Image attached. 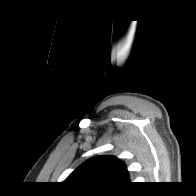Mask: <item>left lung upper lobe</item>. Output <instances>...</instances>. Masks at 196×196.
Masks as SVG:
<instances>
[{"instance_id":"5c2ea615","label":"left lung upper lobe","mask_w":196,"mask_h":196,"mask_svg":"<svg viewBox=\"0 0 196 196\" xmlns=\"http://www.w3.org/2000/svg\"><path fill=\"white\" fill-rule=\"evenodd\" d=\"M66 184L82 189H111L129 183L125 164L114 156L91 158L72 172Z\"/></svg>"}]
</instances>
